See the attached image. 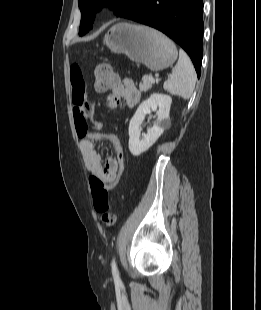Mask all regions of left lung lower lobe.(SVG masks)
Segmentation results:
<instances>
[{
    "instance_id": "obj_1",
    "label": "left lung lower lobe",
    "mask_w": 261,
    "mask_h": 310,
    "mask_svg": "<svg viewBox=\"0 0 261 310\" xmlns=\"http://www.w3.org/2000/svg\"><path fill=\"white\" fill-rule=\"evenodd\" d=\"M160 30L191 57L198 77L203 56V0H135L124 16Z\"/></svg>"
}]
</instances>
